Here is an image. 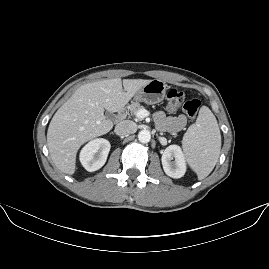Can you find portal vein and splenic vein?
Wrapping results in <instances>:
<instances>
[{
	"mask_svg": "<svg viewBox=\"0 0 269 269\" xmlns=\"http://www.w3.org/2000/svg\"><path fill=\"white\" fill-rule=\"evenodd\" d=\"M148 115V112L147 110L145 109H141L139 112H138V116L139 117H146Z\"/></svg>",
	"mask_w": 269,
	"mask_h": 269,
	"instance_id": "portal-vein-and-splenic-vein-1",
	"label": "portal vein and splenic vein"
}]
</instances>
